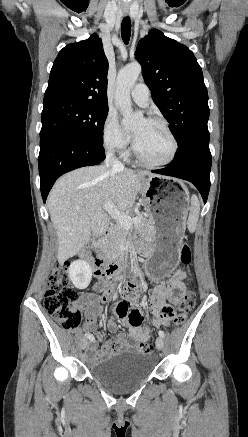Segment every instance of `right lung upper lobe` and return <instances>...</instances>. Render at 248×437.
I'll list each match as a JSON object with an SVG mask.
<instances>
[{
    "mask_svg": "<svg viewBox=\"0 0 248 437\" xmlns=\"http://www.w3.org/2000/svg\"><path fill=\"white\" fill-rule=\"evenodd\" d=\"M108 66L102 40L95 34L65 46L52 66L44 100L69 98L108 107Z\"/></svg>",
    "mask_w": 248,
    "mask_h": 437,
    "instance_id": "obj_1",
    "label": "right lung upper lobe"
}]
</instances>
